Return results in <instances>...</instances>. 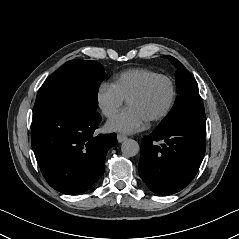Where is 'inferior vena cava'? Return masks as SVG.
Segmentation results:
<instances>
[{
    "mask_svg": "<svg viewBox=\"0 0 239 239\" xmlns=\"http://www.w3.org/2000/svg\"><path fill=\"white\" fill-rule=\"evenodd\" d=\"M105 115H109V112H105Z\"/></svg>",
    "mask_w": 239,
    "mask_h": 239,
    "instance_id": "inferior-vena-cava-1",
    "label": "inferior vena cava"
}]
</instances>
